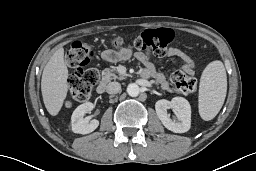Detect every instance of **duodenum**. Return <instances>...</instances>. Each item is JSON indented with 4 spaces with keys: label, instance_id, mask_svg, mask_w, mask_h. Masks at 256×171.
I'll list each match as a JSON object with an SVG mask.
<instances>
[{
    "label": "duodenum",
    "instance_id": "obj_1",
    "mask_svg": "<svg viewBox=\"0 0 256 171\" xmlns=\"http://www.w3.org/2000/svg\"><path fill=\"white\" fill-rule=\"evenodd\" d=\"M106 87H107V80L106 79H102L96 88V91L98 94H103L106 91Z\"/></svg>",
    "mask_w": 256,
    "mask_h": 171
}]
</instances>
